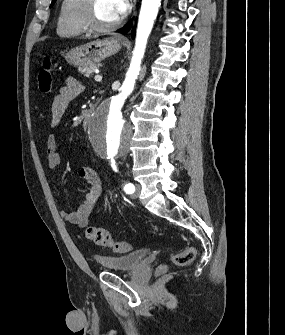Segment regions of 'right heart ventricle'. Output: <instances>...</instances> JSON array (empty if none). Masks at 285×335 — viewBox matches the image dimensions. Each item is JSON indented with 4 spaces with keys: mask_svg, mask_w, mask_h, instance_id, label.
Masks as SVG:
<instances>
[{
    "mask_svg": "<svg viewBox=\"0 0 285 335\" xmlns=\"http://www.w3.org/2000/svg\"><path fill=\"white\" fill-rule=\"evenodd\" d=\"M84 1H61L56 33L66 40L77 39L85 33L83 25Z\"/></svg>",
    "mask_w": 285,
    "mask_h": 335,
    "instance_id": "obj_1",
    "label": "right heart ventricle"
}]
</instances>
